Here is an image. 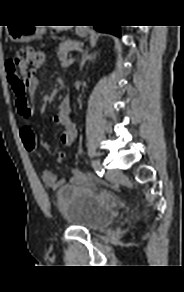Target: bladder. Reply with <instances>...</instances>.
I'll return each mask as SVG.
<instances>
[{"label":"bladder","instance_id":"31cf9c89","mask_svg":"<svg viewBox=\"0 0 184 292\" xmlns=\"http://www.w3.org/2000/svg\"><path fill=\"white\" fill-rule=\"evenodd\" d=\"M56 199L58 211L68 224L91 232L109 225L119 205L115 196L89 185L64 186L57 192Z\"/></svg>","mask_w":184,"mask_h":292}]
</instances>
